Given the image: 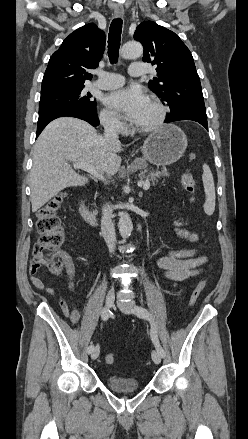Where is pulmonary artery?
Instances as JSON below:
<instances>
[{"mask_svg": "<svg viewBox=\"0 0 248 439\" xmlns=\"http://www.w3.org/2000/svg\"><path fill=\"white\" fill-rule=\"evenodd\" d=\"M145 73L144 65L141 62H134L129 68V74L133 77L142 76ZM97 79L92 83L96 88L111 90L120 87L124 83V78L118 73L96 72Z\"/></svg>", "mask_w": 248, "mask_h": 439, "instance_id": "pulmonary-artery-1", "label": "pulmonary artery"}]
</instances>
